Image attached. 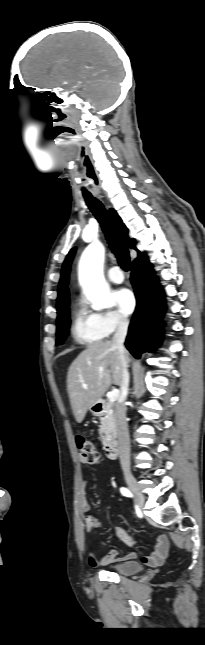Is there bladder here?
I'll return each instance as SVG.
<instances>
[{"label": "bladder", "instance_id": "bladder-1", "mask_svg": "<svg viewBox=\"0 0 205 645\" xmlns=\"http://www.w3.org/2000/svg\"><path fill=\"white\" fill-rule=\"evenodd\" d=\"M109 570L121 575L129 576L139 573L142 570V565L138 561L127 560L111 565Z\"/></svg>", "mask_w": 205, "mask_h": 645}]
</instances>
